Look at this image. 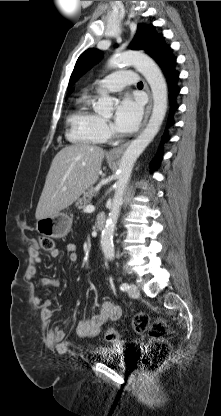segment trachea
<instances>
[{
	"instance_id": "3493384b",
	"label": "trachea",
	"mask_w": 221,
	"mask_h": 416,
	"mask_svg": "<svg viewBox=\"0 0 221 416\" xmlns=\"http://www.w3.org/2000/svg\"><path fill=\"white\" fill-rule=\"evenodd\" d=\"M143 86V83L142 82H139L138 84H137V87H142Z\"/></svg>"
}]
</instances>
